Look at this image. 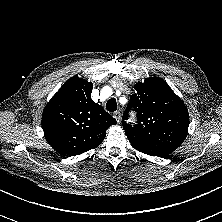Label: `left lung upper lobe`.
<instances>
[{"label": "left lung upper lobe", "instance_id": "1", "mask_svg": "<svg viewBox=\"0 0 222 222\" xmlns=\"http://www.w3.org/2000/svg\"><path fill=\"white\" fill-rule=\"evenodd\" d=\"M122 117V125L131 145L150 148L177 149L185 140L189 126L188 110L168 84L159 77H151L135 85ZM137 112V124L131 125L129 111Z\"/></svg>", "mask_w": 222, "mask_h": 222}]
</instances>
